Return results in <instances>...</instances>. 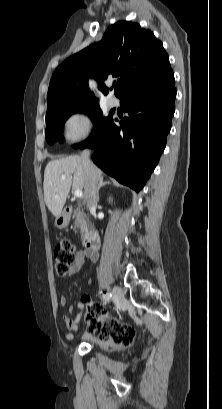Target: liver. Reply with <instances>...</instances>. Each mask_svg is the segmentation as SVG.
Here are the masks:
<instances>
[{
    "label": "liver",
    "mask_w": 222,
    "mask_h": 409,
    "mask_svg": "<svg viewBox=\"0 0 222 409\" xmlns=\"http://www.w3.org/2000/svg\"><path fill=\"white\" fill-rule=\"evenodd\" d=\"M95 169L101 178L102 171L97 167ZM85 184L86 173L80 156L72 155L48 162L44 171L43 189L44 200L51 213L55 217L58 216L64 207L70 188L85 190Z\"/></svg>",
    "instance_id": "1"
}]
</instances>
